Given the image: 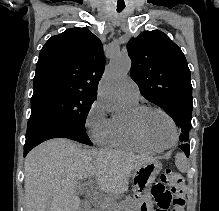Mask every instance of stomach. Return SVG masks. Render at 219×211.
Segmentation results:
<instances>
[{
	"label": "stomach",
	"instance_id": "obj_1",
	"mask_svg": "<svg viewBox=\"0 0 219 211\" xmlns=\"http://www.w3.org/2000/svg\"><path fill=\"white\" fill-rule=\"evenodd\" d=\"M162 169L158 160L148 162L133 172L136 196V211H154L149 197V189Z\"/></svg>",
	"mask_w": 219,
	"mask_h": 211
}]
</instances>
